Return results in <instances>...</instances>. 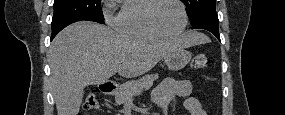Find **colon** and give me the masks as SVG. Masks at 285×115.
I'll list each match as a JSON object with an SVG mask.
<instances>
[{"mask_svg":"<svg viewBox=\"0 0 285 115\" xmlns=\"http://www.w3.org/2000/svg\"><path fill=\"white\" fill-rule=\"evenodd\" d=\"M208 66V59L204 54H197L193 57L192 67L194 69H205ZM98 101L94 95L90 94L87 96L83 109L86 111H93L98 109Z\"/></svg>","mask_w":285,"mask_h":115,"instance_id":"1","label":"colon"}]
</instances>
